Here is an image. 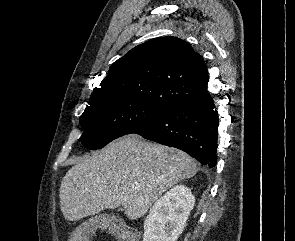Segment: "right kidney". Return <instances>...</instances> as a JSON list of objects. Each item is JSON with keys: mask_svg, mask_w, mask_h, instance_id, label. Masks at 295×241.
Here are the masks:
<instances>
[{"mask_svg": "<svg viewBox=\"0 0 295 241\" xmlns=\"http://www.w3.org/2000/svg\"><path fill=\"white\" fill-rule=\"evenodd\" d=\"M195 204L191 190L176 185L160 197L144 222L143 241H176Z\"/></svg>", "mask_w": 295, "mask_h": 241, "instance_id": "ca27d5eb", "label": "right kidney"}]
</instances>
